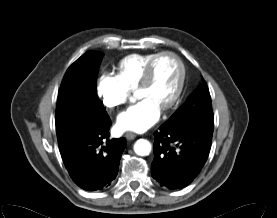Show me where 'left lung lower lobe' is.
<instances>
[{"label":"left lung lower lobe","mask_w":277,"mask_h":218,"mask_svg":"<svg viewBox=\"0 0 277 218\" xmlns=\"http://www.w3.org/2000/svg\"><path fill=\"white\" fill-rule=\"evenodd\" d=\"M213 120L164 123L155 132L151 175L160 186L179 189L200 173L211 148Z\"/></svg>","instance_id":"1"}]
</instances>
